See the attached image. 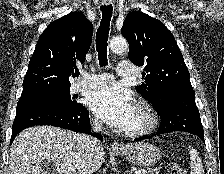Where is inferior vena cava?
<instances>
[{
  "label": "inferior vena cava",
  "instance_id": "obj_1",
  "mask_svg": "<svg viewBox=\"0 0 224 174\" xmlns=\"http://www.w3.org/2000/svg\"><path fill=\"white\" fill-rule=\"evenodd\" d=\"M92 127L95 132H99L102 130V123L95 119L92 123ZM81 139L83 140L85 148L88 152H95L97 149H100L101 147L98 139H96L95 137L89 135H82Z\"/></svg>",
  "mask_w": 224,
  "mask_h": 174
}]
</instances>
